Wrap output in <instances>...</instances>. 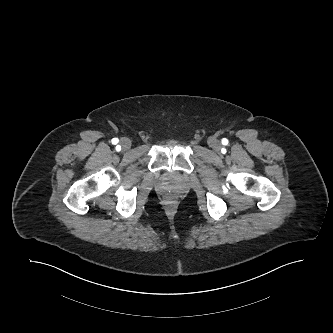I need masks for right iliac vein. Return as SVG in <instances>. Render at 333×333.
<instances>
[{"mask_svg": "<svg viewBox=\"0 0 333 333\" xmlns=\"http://www.w3.org/2000/svg\"><path fill=\"white\" fill-rule=\"evenodd\" d=\"M120 145L124 151H127L131 147V140L129 138H122L120 141Z\"/></svg>", "mask_w": 333, "mask_h": 333, "instance_id": "obj_1", "label": "right iliac vein"}]
</instances>
